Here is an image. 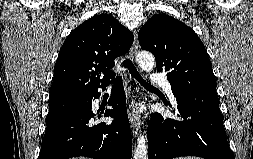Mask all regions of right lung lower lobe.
Instances as JSON below:
<instances>
[{"instance_id": "right-lung-lower-lobe-1", "label": "right lung lower lobe", "mask_w": 253, "mask_h": 159, "mask_svg": "<svg viewBox=\"0 0 253 159\" xmlns=\"http://www.w3.org/2000/svg\"><path fill=\"white\" fill-rule=\"evenodd\" d=\"M121 81L119 77L108 102L112 110L93 111L92 102L100 96L95 91L87 101L46 122L38 159H68L76 156L131 159L132 138ZM102 115L112 116L114 120L109 124L96 123V116L100 118Z\"/></svg>"}]
</instances>
